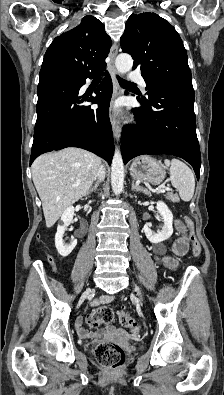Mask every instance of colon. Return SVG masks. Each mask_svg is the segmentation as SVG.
<instances>
[{
    "label": "colon",
    "mask_w": 224,
    "mask_h": 395,
    "mask_svg": "<svg viewBox=\"0 0 224 395\" xmlns=\"http://www.w3.org/2000/svg\"><path fill=\"white\" fill-rule=\"evenodd\" d=\"M185 223L189 229V239L192 245V253L194 256H199L201 253V245L192 233V221L185 217ZM114 312L108 306H101L93 309L88 318L87 323L92 328H97L101 325H108L114 320ZM118 320L120 324L129 329L132 334L137 335L140 331L139 324L126 311L122 310L118 313ZM96 360L110 369L120 368L126 360V351L123 347L114 343L100 342L95 346Z\"/></svg>",
    "instance_id": "5ec220e1"
}]
</instances>
